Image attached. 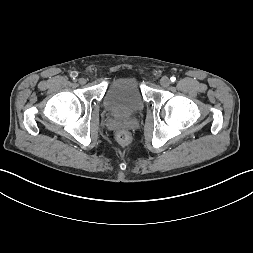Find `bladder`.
Returning <instances> with one entry per match:
<instances>
[{
  "label": "bladder",
  "mask_w": 253,
  "mask_h": 253,
  "mask_svg": "<svg viewBox=\"0 0 253 253\" xmlns=\"http://www.w3.org/2000/svg\"><path fill=\"white\" fill-rule=\"evenodd\" d=\"M102 104L106 111L118 117H130L140 112L145 107V100L137 78L124 75L109 80Z\"/></svg>",
  "instance_id": "obj_1"
}]
</instances>
